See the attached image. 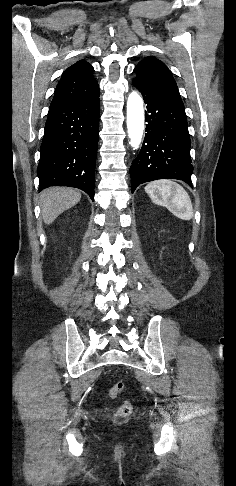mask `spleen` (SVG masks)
I'll return each mask as SVG.
<instances>
[{"instance_id": "3e777b00", "label": "spleen", "mask_w": 236, "mask_h": 486, "mask_svg": "<svg viewBox=\"0 0 236 486\" xmlns=\"http://www.w3.org/2000/svg\"><path fill=\"white\" fill-rule=\"evenodd\" d=\"M145 192L158 205L168 208L175 216L183 220L193 217V206L188 193L176 182L159 180L145 186Z\"/></svg>"}]
</instances>
